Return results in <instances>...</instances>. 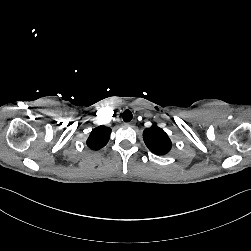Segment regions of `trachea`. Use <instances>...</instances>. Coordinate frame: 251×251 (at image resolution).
Returning a JSON list of instances; mask_svg holds the SVG:
<instances>
[{"instance_id":"trachea-1","label":"trachea","mask_w":251,"mask_h":251,"mask_svg":"<svg viewBox=\"0 0 251 251\" xmlns=\"http://www.w3.org/2000/svg\"><path fill=\"white\" fill-rule=\"evenodd\" d=\"M122 118L125 122H130L133 118L132 112L130 110H125L123 112Z\"/></svg>"}]
</instances>
